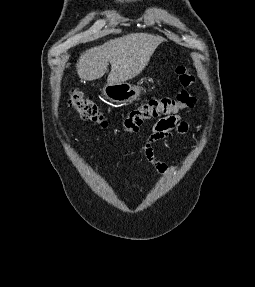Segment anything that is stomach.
Listing matches in <instances>:
<instances>
[{"mask_svg": "<svg viewBox=\"0 0 255 287\" xmlns=\"http://www.w3.org/2000/svg\"><path fill=\"white\" fill-rule=\"evenodd\" d=\"M102 92L110 102L132 104L134 100H140L141 88L131 86L128 82H119V84H106Z\"/></svg>", "mask_w": 255, "mask_h": 287, "instance_id": "0dacf381", "label": "stomach"}]
</instances>
